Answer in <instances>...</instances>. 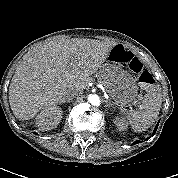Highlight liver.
Wrapping results in <instances>:
<instances>
[{
    "instance_id": "liver-1",
    "label": "liver",
    "mask_w": 178,
    "mask_h": 178,
    "mask_svg": "<svg viewBox=\"0 0 178 178\" xmlns=\"http://www.w3.org/2000/svg\"><path fill=\"white\" fill-rule=\"evenodd\" d=\"M116 44L72 38L52 40L36 49L16 69L9 87L16 118L32 119L39 110L67 98L73 89L83 91Z\"/></svg>"
}]
</instances>
